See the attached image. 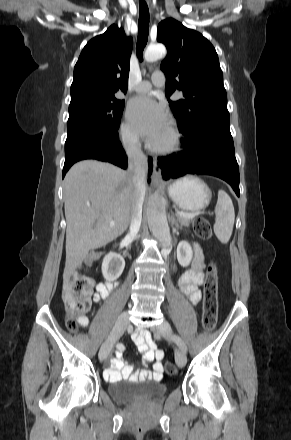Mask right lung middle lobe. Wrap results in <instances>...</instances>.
<instances>
[{"label": "right lung middle lobe", "instance_id": "obj_1", "mask_svg": "<svg viewBox=\"0 0 291 440\" xmlns=\"http://www.w3.org/2000/svg\"><path fill=\"white\" fill-rule=\"evenodd\" d=\"M124 100L115 96L85 97L70 102L68 130L75 127H87L101 131H113L119 128Z\"/></svg>", "mask_w": 291, "mask_h": 440}]
</instances>
